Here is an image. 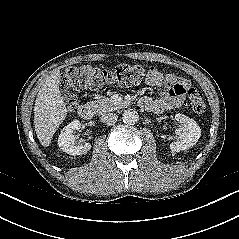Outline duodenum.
Returning <instances> with one entry per match:
<instances>
[{
    "mask_svg": "<svg viewBox=\"0 0 239 239\" xmlns=\"http://www.w3.org/2000/svg\"><path fill=\"white\" fill-rule=\"evenodd\" d=\"M93 113V107L89 104H82L78 107V115L84 120L92 119Z\"/></svg>",
    "mask_w": 239,
    "mask_h": 239,
    "instance_id": "obj_1",
    "label": "duodenum"
}]
</instances>
